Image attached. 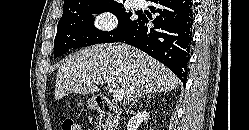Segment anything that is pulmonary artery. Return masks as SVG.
<instances>
[{
    "label": "pulmonary artery",
    "instance_id": "pulmonary-artery-1",
    "mask_svg": "<svg viewBox=\"0 0 249 130\" xmlns=\"http://www.w3.org/2000/svg\"><path fill=\"white\" fill-rule=\"evenodd\" d=\"M134 5L137 8H141L144 5V0H134Z\"/></svg>",
    "mask_w": 249,
    "mask_h": 130
}]
</instances>
